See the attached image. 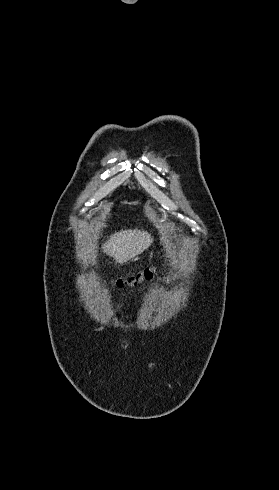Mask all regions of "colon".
<instances>
[{
  "label": "colon",
  "instance_id": "obj_1",
  "mask_svg": "<svg viewBox=\"0 0 279 490\" xmlns=\"http://www.w3.org/2000/svg\"><path fill=\"white\" fill-rule=\"evenodd\" d=\"M151 275H152V270L146 269L143 272L135 275L116 278L114 283L116 285H122V284L132 285V284L143 282L144 280L148 279Z\"/></svg>",
  "mask_w": 279,
  "mask_h": 490
}]
</instances>
